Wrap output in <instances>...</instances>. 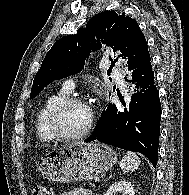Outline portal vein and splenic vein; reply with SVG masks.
Segmentation results:
<instances>
[{
    "label": "portal vein and splenic vein",
    "mask_w": 189,
    "mask_h": 195,
    "mask_svg": "<svg viewBox=\"0 0 189 195\" xmlns=\"http://www.w3.org/2000/svg\"><path fill=\"white\" fill-rule=\"evenodd\" d=\"M99 181H100V179H99V178H96V179H95V182H99Z\"/></svg>",
    "instance_id": "1"
}]
</instances>
